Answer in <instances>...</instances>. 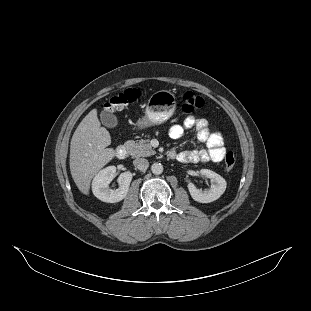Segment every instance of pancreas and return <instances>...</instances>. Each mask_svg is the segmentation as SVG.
Instances as JSON below:
<instances>
[{"label": "pancreas", "mask_w": 311, "mask_h": 311, "mask_svg": "<svg viewBox=\"0 0 311 311\" xmlns=\"http://www.w3.org/2000/svg\"><path fill=\"white\" fill-rule=\"evenodd\" d=\"M124 146L126 147L128 154L134 158L148 157L156 153L149 143V140H140L139 142L128 140L124 143Z\"/></svg>", "instance_id": "obj_1"}]
</instances>
